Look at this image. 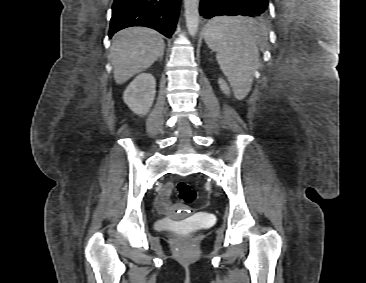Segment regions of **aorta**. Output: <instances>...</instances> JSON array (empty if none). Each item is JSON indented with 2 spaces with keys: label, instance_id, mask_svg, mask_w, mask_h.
Instances as JSON below:
<instances>
[{
  "label": "aorta",
  "instance_id": "aorta-1",
  "mask_svg": "<svg viewBox=\"0 0 366 283\" xmlns=\"http://www.w3.org/2000/svg\"><path fill=\"white\" fill-rule=\"evenodd\" d=\"M199 0H184L185 20L188 32L195 36L199 29Z\"/></svg>",
  "mask_w": 366,
  "mask_h": 283
}]
</instances>
